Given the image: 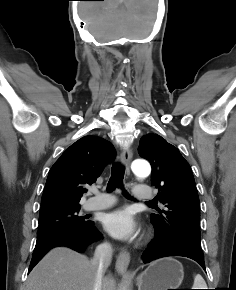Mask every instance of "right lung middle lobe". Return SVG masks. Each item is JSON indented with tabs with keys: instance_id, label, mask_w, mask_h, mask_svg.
<instances>
[{
	"instance_id": "obj_1",
	"label": "right lung middle lobe",
	"mask_w": 236,
	"mask_h": 290,
	"mask_svg": "<svg viewBox=\"0 0 236 290\" xmlns=\"http://www.w3.org/2000/svg\"><path fill=\"white\" fill-rule=\"evenodd\" d=\"M80 208V205H76L41 210L37 236H43L58 230L74 229L88 225L90 221H85L84 216L78 215Z\"/></svg>"
}]
</instances>
